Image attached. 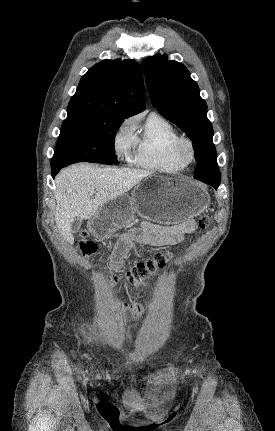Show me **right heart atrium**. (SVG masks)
<instances>
[{
	"label": "right heart atrium",
	"instance_id": "1",
	"mask_svg": "<svg viewBox=\"0 0 275 431\" xmlns=\"http://www.w3.org/2000/svg\"><path fill=\"white\" fill-rule=\"evenodd\" d=\"M136 144V136L133 131V122L125 120L114 136V146L118 155H129Z\"/></svg>",
	"mask_w": 275,
	"mask_h": 431
}]
</instances>
